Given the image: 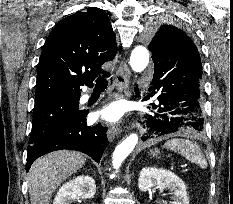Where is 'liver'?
Wrapping results in <instances>:
<instances>
[{"instance_id": "6515ba94", "label": "liver", "mask_w": 233, "mask_h": 204, "mask_svg": "<svg viewBox=\"0 0 233 204\" xmlns=\"http://www.w3.org/2000/svg\"><path fill=\"white\" fill-rule=\"evenodd\" d=\"M85 164L78 152L55 151L37 159L28 176L31 204H49L57 187Z\"/></svg>"}]
</instances>
